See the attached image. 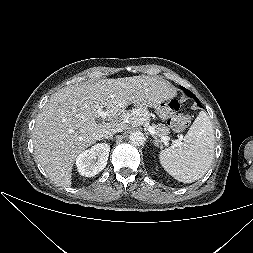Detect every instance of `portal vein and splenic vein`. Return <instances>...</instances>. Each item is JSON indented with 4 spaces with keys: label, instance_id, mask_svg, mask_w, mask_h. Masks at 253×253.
Segmentation results:
<instances>
[{
    "label": "portal vein and splenic vein",
    "instance_id": "obj_1",
    "mask_svg": "<svg viewBox=\"0 0 253 253\" xmlns=\"http://www.w3.org/2000/svg\"><path fill=\"white\" fill-rule=\"evenodd\" d=\"M97 112H98V115H99L101 118H106V113H105L101 108H99V109L97 110ZM148 131H149L152 135L156 134V130H155V128H154L153 126H149ZM161 141L164 142V143L166 144V143H168V141H169V137H168V136H162V137H161Z\"/></svg>",
    "mask_w": 253,
    "mask_h": 253
}]
</instances>
